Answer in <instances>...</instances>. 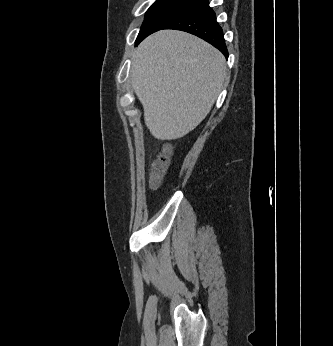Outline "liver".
<instances>
[{
	"label": "liver",
	"instance_id": "obj_1",
	"mask_svg": "<svg viewBox=\"0 0 333 346\" xmlns=\"http://www.w3.org/2000/svg\"><path fill=\"white\" fill-rule=\"evenodd\" d=\"M226 76L220 51L189 33L161 30L132 57V88L159 140L181 138L210 112Z\"/></svg>",
	"mask_w": 333,
	"mask_h": 346
}]
</instances>
